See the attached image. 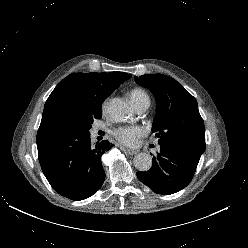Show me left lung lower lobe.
Returning a JSON list of instances; mask_svg holds the SVG:
<instances>
[{"mask_svg":"<svg viewBox=\"0 0 248 248\" xmlns=\"http://www.w3.org/2000/svg\"><path fill=\"white\" fill-rule=\"evenodd\" d=\"M197 165L177 149L160 147V152L153 158L151 169L138 171L137 176L155 193L169 195L191 182Z\"/></svg>","mask_w":248,"mask_h":248,"instance_id":"0a47b994","label":"left lung lower lobe"}]
</instances>
